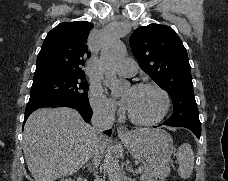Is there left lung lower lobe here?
<instances>
[{"label": "left lung lower lobe", "mask_w": 228, "mask_h": 181, "mask_svg": "<svg viewBox=\"0 0 228 181\" xmlns=\"http://www.w3.org/2000/svg\"><path fill=\"white\" fill-rule=\"evenodd\" d=\"M163 124L170 126L169 124H166L165 122ZM186 128L191 130L197 136V138H200L201 128H194V127H186Z\"/></svg>", "instance_id": "left-lung-lower-lobe-1"}]
</instances>
